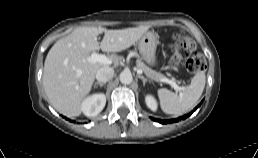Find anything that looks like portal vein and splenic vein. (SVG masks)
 Segmentation results:
<instances>
[{"label": "portal vein and splenic vein", "mask_w": 258, "mask_h": 158, "mask_svg": "<svg viewBox=\"0 0 258 158\" xmlns=\"http://www.w3.org/2000/svg\"><path fill=\"white\" fill-rule=\"evenodd\" d=\"M87 60H88L89 62H92V63H97V62H98V63L105 64V65H109V64L112 63V60H111L110 58L106 57L105 55L98 54V53H96V52H93V53L87 58ZM137 73H138V74H142L143 71L138 69V70H137ZM160 81L170 84V85L174 88V90L177 91V92H178V91L181 92L182 90H184V87L178 86V85L176 84V82H174L173 80H170V79H168V78H166V77H162V78L160 79Z\"/></svg>", "instance_id": "obj_1"}]
</instances>
